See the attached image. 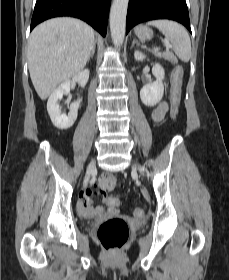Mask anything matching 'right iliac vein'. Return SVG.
Returning a JSON list of instances; mask_svg holds the SVG:
<instances>
[{
	"mask_svg": "<svg viewBox=\"0 0 229 280\" xmlns=\"http://www.w3.org/2000/svg\"><path fill=\"white\" fill-rule=\"evenodd\" d=\"M96 170V166L94 162H91L90 165L88 166L87 169V174L85 177V181H84V186H87L89 179H90V175Z\"/></svg>",
	"mask_w": 229,
	"mask_h": 280,
	"instance_id": "obj_1",
	"label": "right iliac vein"
}]
</instances>
